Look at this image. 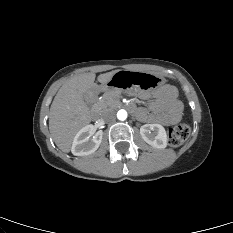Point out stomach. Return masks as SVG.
I'll list each match as a JSON object with an SVG mask.
<instances>
[{
    "label": "stomach",
    "instance_id": "stomach-1",
    "mask_svg": "<svg viewBox=\"0 0 233 233\" xmlns=\"http://www.w3.org/2000/svg\"><path fill=\"white\" fill-rule=\"evenodd\" d=\"M164 78L149 72L121 71L114 74L108 80V87L112 91H119L122 88L150 90L153 87L163 85Z\"/></svg>",
    "mask_w": 233,
    "mask_h": 233
}]
</instances>
